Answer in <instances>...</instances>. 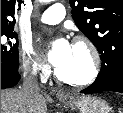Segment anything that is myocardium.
Segmentation results:
<instances>
[{"instance_id":"f54148a6","label":"myocardium","mask_w":123,"mask_h":113,"mask_svg":"<svg viewBox=\"0 0 123 113\" xmlns=\"http://www.w3.org/2000/svg\"><path fill=\"white\" fill-rule=\"evenodd\" d=\"M73 45L84 47L90 57V69L86 76L81 78H69L61 75L58 68L54 70L55 78L65 84L73 86H86L92 84L98 77L100 71L101 58L95 44L86 36L78 35L73 39Z\"/></svg>"}]
</instances>
